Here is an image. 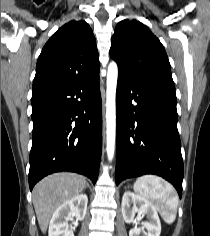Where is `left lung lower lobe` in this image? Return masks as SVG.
<instances>
[{
    "mask_svg": "<svg viewBox=\"0 0 210 236\" xmlns=\"http://www.w3.org/2000/svg\"><path fill=\"white\" fill-rule=\"evenodd\" d=\"M116 184L144 174L165 178L182 196L183 160L175 89L118 76Z\"/></svg>",
    "mask_w": 210,
    "mask_h": 236,
    "instance_id": "1",
    "label": "left lung lower lobe"
}]
</instances>
